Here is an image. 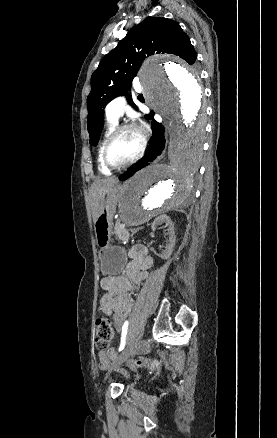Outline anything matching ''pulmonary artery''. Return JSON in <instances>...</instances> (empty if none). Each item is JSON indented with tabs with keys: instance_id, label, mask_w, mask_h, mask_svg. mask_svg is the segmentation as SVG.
<instances>
[{
	"instance_id": "obj_1",
	"label": "pulmonary artery",
	"mask_w": 277,
	"mask_h": 438,
	"mask_svg": "<svg viewBox=\"0 0 277 438\" xmlns=\"http://www.w3.org/2000/svg\"><path fill=\"white\" fill-rule=\"evenodd\" d=\"M139 80H133V83L131 84L132 89L137 90L140 87ZM116 93L119 96H122L125 93V90L122 87H119L116 90ZM126 109V101L123 97H119L113 101H111L105 109V116L107 120L110 121H118L120 118L123 117L124 112Z\"/></svg>"
}]
</instances>
